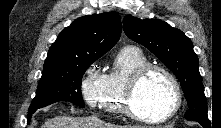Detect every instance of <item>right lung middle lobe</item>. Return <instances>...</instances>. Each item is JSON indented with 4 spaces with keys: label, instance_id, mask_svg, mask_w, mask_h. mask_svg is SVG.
<instances>
[{
    "label": "right lung middle lobe",
    "instance_id": "1",
    "mask_svg": "<svg viewBox=\"0 0 221 128\" xmlns=\"http://www.w3.org/2000/svg\"><path fill=\"white\" fill-rule=\"evenodd\" d=\"M97 59L43 71L36 96L28 110L29 114L58 101H69L79 107H84L81 79L85 71Z\"/></svg>",
    "mask_w": 221,
    "mask_h": 128
}]
</instances>
